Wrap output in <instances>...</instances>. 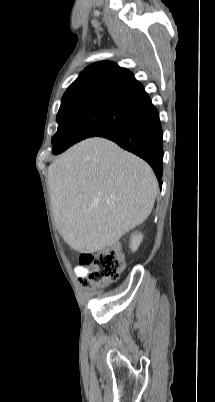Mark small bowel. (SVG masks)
<instances>
[{
    "mask_svg": "<svg viewBox=\"0 0 215 402\" xmlns=\"http://www.w3.org/2000/svg\"><path fill=\"white\" fill-rule=\"evenodd\" d=\"M75 274L79 278H85L88 274V269L83 266H78L75 268Z\"/></svg>",
    "mask_w": 215,
    "mask_h": 402,
    "instance_id": "obj_1",
    "label": "small bowel"
}]
</instances>
